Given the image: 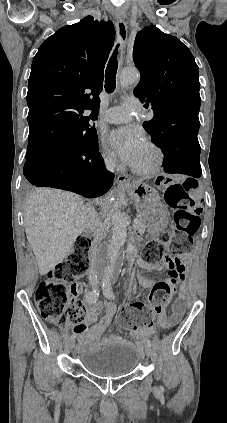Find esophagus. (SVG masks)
<instances>
[{"instance_id": "34e87169", "label": "esophagus", "mask_w": 227, "mask_h": 423, "mask_svg": "<svg viewBox=\"0 0 227 423\" xmlns=\"http://www.w3.org/2000/svg\"><path fill=\"white\" fill-rule=\"evenodd\" d=\"M115 25H116L117 39L121 43V46H120L121 50H123L127 41V34H128L127 24L124 19H118ZM131 180L132 179L129 176L125 175L124 173H120L117 176V183L119 185L128 183Z\"/></svg>"}]
</instances>
